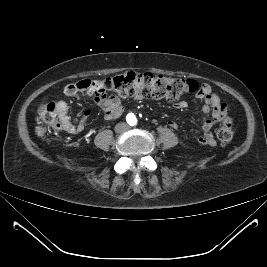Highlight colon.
<instances>
[{"mask_svg": "<svg viewBox=\"0 0 267 267\" xmlns=\"http://www.w3.org/2000/svg\"><path fill=\"white\" fill-rule=\"evenodd\" d=\"M80 87L94 95L96 101L110 97H136L167 99L174 101L180 97L199 92L202 88L197 81L167 77L153 73L127 72L104 80L85 79ZM60 122L53 102L45 104L38 114L36 132L43 136L49 129H59ZM233 125L229 118H225L217 131V137L223 145H228L233 139Z\"/></svg>", "mask_w": 267, "mask_h": 267, "instance_id": "1", "label": "colon"}]
</instances>
